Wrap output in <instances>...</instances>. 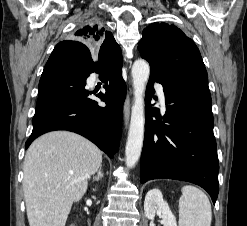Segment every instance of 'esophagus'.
Here are the masks:
<instances>
[{"label": "esophagus", "instance_id": "34e87169", "mask_svg": "<svg viewBox=\"0 0 247 226\" xmlns=\"http://www.w3.org/2000/svg\"><path fill=\"white\" fill-rule=\"evenodd\" d=\"M130 106H131V102H130V97L128 95L126 97V100H125L124 106H123L125 127L128 126V122H129V118H130Z\"/></svg>", "mask_w": 247, "mask_h": 226}]
</instances>
